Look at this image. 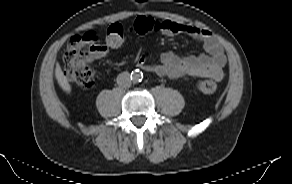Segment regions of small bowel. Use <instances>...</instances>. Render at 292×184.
<instances>
[{
  "label": "small bowel",
  "instance_id": "obj_1",
  "mask_svg": "<svg viewBox=\"0 0 292 184\" xmlns=\"http://www.w3.org/2000/svg\"><path fill=\"white\" fill-rule=\"evenodd\" d=\"M142 18L153 20L157 25V31L165 36L182 33L199 39L203 43L205 53L196 56L179 57L175 53L168 51L162 53L160 62L153 65L147 63L145 56H141L138 59L140 68L173 80L185 77H210L219 81L224 77V66L227 59L222 46L209 30L171 20L156 21L147 16L135 19L128 25V30L138 33L136 24Z\"/></svg>",
  "mask_w": 292,
  "mask_h": 184
}]
</instances>
